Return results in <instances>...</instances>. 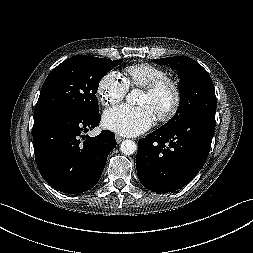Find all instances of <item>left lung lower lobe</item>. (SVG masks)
<instances>
[{
    "label": "left lung lower lobe",
    "mask_w": 253,
    "mask_h": 253,
    "mask_svg": "<svg viewBox=\"0 0 253 253\" xmlns=\"http://www.w3.org/2000/svg\"><path fill=\"white\" fill-rule=\"evenodd\" d=\"M214 131L215 115L201 113L140 139L136 168L142 185L152 192H172L188 184L207 159Z\"/></svg>",
    "instance_id": "0a47b994"
}]
</instances>
